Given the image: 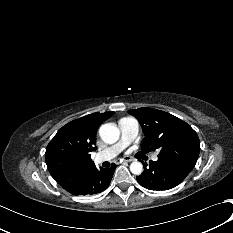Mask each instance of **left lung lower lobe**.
Returning a JSON list of instances; mask_svg holds the SVG:
<instances>
[{
  "instance_id": "obj_1",
  "label": "left lung lower lobe",
  "mask_w": 233,
  "mask_h": 233,
  "mask_svg": "<svg viewBox=\"0 0 233 233\" xmlns=\"http://www.w3.org/2000/svg\"><path fill=\"white\" fill-rule=\"evenodd\" d=\"M189 174L187 170L181 167L158 159L150 161L147 165L144 163V171L137 177L141 186L149 190H169L180 184Z\"/></svg>"
}]
</instances>
